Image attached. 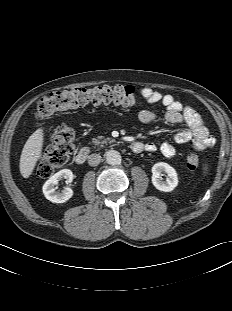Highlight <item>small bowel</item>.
Here are the masks:
<instances>
[{"mask_svg":"<svg viewBox=\"0 0 232 311\" xmlns=\"http://www.w3.org/2000/svg\"><path fill=\"white\" fill-rule=\"evenodd\" d=\"M142 96L149 103H161L165 107L164 119L171 124H185L187 128L176 133L173 137L175 143L186 144L193 140L194 146L198 150H204L214 145V139L209 135L201 116L189 106H184L170 94L144 87L141 90ZM138 120L148 124L157 120V115L148 109L138 112ZM144 149L148 152L157 150L154 143H146ZM161 154L166 158H172L176 154V148L171 142L164 141L159 145Z\"/></svg>","mask_w":232,"mask_h":311,"instance_id":"1","label":"small bowel"}]
</instances>
